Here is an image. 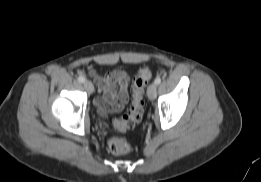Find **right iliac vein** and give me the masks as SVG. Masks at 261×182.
Here are the masks:
<instances>
[{"instance_id":"right-iliac-vein-1","label":"right iliac vein","mask_w":261,"mask_h":182,"mask_svg":"<svg viewBox=\"0 0 261 182\" xmlns=\"http://www.w3.org/2000/svg\"><path fill=\"white\" fill-rule=\"evenodd\" d=\"M84 87L88 93L91 94L94 92V86L91 81H89V80L84 81Z\"/></svg>"}]
</instances>
